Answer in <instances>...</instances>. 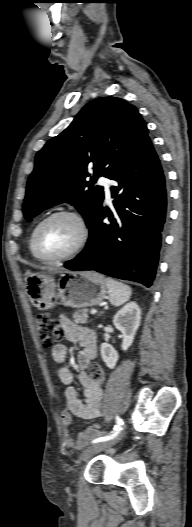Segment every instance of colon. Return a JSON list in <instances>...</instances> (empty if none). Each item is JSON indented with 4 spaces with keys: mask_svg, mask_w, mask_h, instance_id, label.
Wrapping results in <instances>:
<instances>
[{
    "mask_svg": "<svg viewBox=\"0 0 192 527\" xmlns=\"http://www.w3.org/2000/svg\"><path fill=\"white\" fill-rule=\"evenodd\" d=\"M35 324L40 341L46 347H51L61 341L65 335L64 328L60 321L50 317L47 314H38L35 317ZM90 378L97 384H102L105 379L103 369L93 364L90 368Z\"/></svg>",
    "mask_w": 192,
    "mask_h": 527,
    "instance_id": "5ec220e1",
    "label": "colon"
}]
</instances>
